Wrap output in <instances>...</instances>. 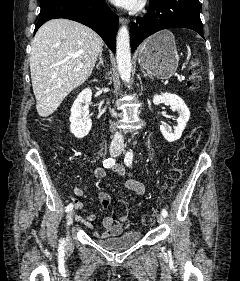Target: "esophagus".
<instances>
[{
	"instance_id": "esophagus-1",
	"label": "esophagus",
	"mask_w": 240,
	"mask_h": 281,
	"mask_svg": "<svg viewBox=\"0 0 240 281\" xmlns=\"http://www.w3.org/2000/svg\"><path fill=\"white\" fill-rule=\"evenodd\" d=\"M119 22L121 24H124V25H128L129 24V21L128 19L124 18V17H119Z\"/></svg>"
}]
</instances>
